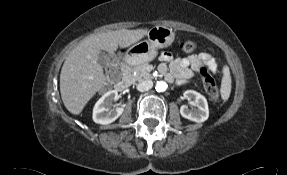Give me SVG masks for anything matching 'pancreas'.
<instances>
[{
    "mask_svg": "<svg viewBox=\"0 0 287 175\" xmlns=\"http://www.w3.org/2000/svg\"><path fill=\"white\" fill-rule=\"evenodd\" d=\"M147 64H141L138 66H135L132 69V73L129 75V78L132 82L135 81H141L144 79H149L151 78V74L147 71Z\"/></svg>",
    "mask_w": 287,
    "mask_h": 175,
    "instance_id": "obj_1",
    "label": "pancreas"
}]
</instances>
